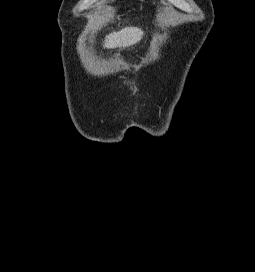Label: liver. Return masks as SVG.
Returning a JSON list of instances; mask_svg holds the SVG:
<instances>
[{"mask_svg":"<svg viewBox=\"0 0 255 272\" xmlns=\"http://www.w3.org/2000/svg\"><path fill=\"white\" fill-rule=\"evenodd\" d=\"M143 35V31L137 27H126L106 36L104 48L115 49L118 47L132 46L138 43Z\"/></svg>","mask_w":255,"mask_h":272,"instance_id":"obj_1","label":"liver"}]
</instances>
